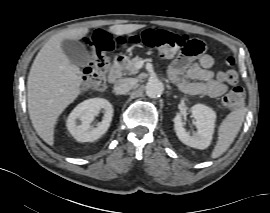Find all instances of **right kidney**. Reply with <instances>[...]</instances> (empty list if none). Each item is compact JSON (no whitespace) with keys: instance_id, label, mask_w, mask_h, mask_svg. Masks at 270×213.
<instances>
[{"instance_id":"1","label":"right kidney","mask_w":270,"mask_h":213,"mask_svg":"<svg viewBox=\"0 0 270 213\" xmlns=\"http://www.w3.org/2000/svg\"><path fill=\"white\" fill-rule=\"evenodd\" d=\"M104 109L102 121L96 128L91 126L94 117ZM113 116L111 103L102 98H92L77 105L67 119V129L79 142H92L100 138L108 130ZM77 119L81 124L77 125Z\"/></svg>"}]
</instances>
